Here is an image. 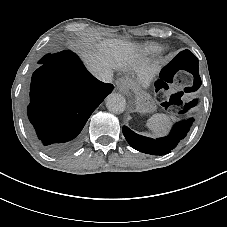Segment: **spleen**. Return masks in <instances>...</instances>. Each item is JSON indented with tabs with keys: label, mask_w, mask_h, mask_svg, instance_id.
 Wrapping results in <instances>:
<instances>
[{
	"label": "spleen",
	"mask_w": 227,
	"mask_h": 227,
	"mask_svg": "<svg viewBox=\"0 0 227 227\" xmlns=\"http://www.w3.org/2000/svg\"><path fill=\"white\" fill-rule=\"evenodd\" d=\"M169 117L165 114H155L147 122V127L157 136L166 135L171 126Z\"/></svg>",
	"instance_id": "3e777b00"
}]
</instances>
